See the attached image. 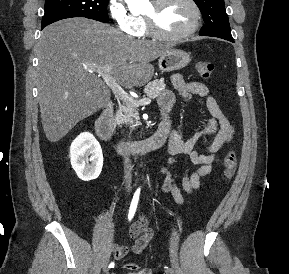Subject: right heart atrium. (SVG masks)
Here are the masks:
<instances>
[{
    "instance_id": "obj_1",
    "label": "right heart atrium",
    "mask_w": 289,
    "mask_h": 274,
    "mask_svg": "<svg viewBox=\"0 0 289 274\" xmlns=\"http://www.w3.org/2000/svg\"><path fill=\"white\" fill-rule=\"evenodd\" d=\"M109 13L120 31L128 35H137L138 19L129 11L123 0H109Z\"/></svg>"
}]
</instances>
